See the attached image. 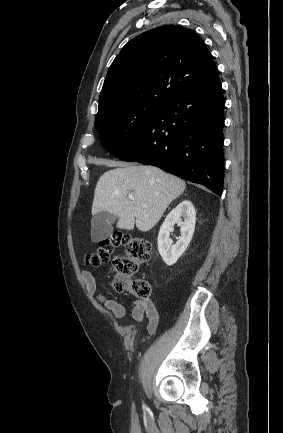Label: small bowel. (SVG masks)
<instances>
[{
  "mask_svg": "<svg viewBox=\"0 0 283 433\" xmlns=\"http://www.w3.org/2000/svg\"><path fill=\"white\" fill-rule=\"evenodd\" d=\"M81 277L86 285L87 292L91 296H97L98 300L113 314L117 319H121L126 314L125 307L112 299H109L105 295L98 292V282L96 277L87 270L82 271ZM132 319L134 326H139L144 317L148 319L147 330L150 335H153L158 327L159 316L155 305L150 298H137L133 302L132 306ZM123 327H129V325H122Z\"/></svg>",
  "mask_w": 283,
  "mask_h": 433,
  "instance_id": "1",
  "label": "small bowel"
}]
</instances>
